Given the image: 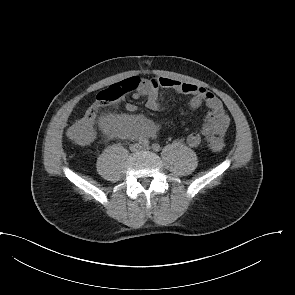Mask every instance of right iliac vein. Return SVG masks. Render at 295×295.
<instances>
[{
    "label": "right iliac vein",
    "instance_id": "63e3f726",
    "mask_svg": "<svg viewBox=\"0 0 295 295\" xmlns=\"http://www.w3.org/2000/svg\"><path fill=\"white\" fill-rule=\"evenodd\" d=\"M130 150L134 153L140 150V145L138 143L131 145Z\"/></svg>",
    "mask_w": 295,
    "mask_h": 295
}]
</instances>
